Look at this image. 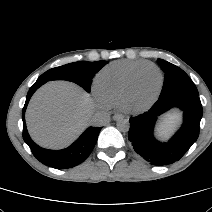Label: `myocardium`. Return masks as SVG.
<instances>
[{
	"instance_id": "1",
	"label": "myocardium",
	"mask_w": 212,
	"mask_h": 212,
	"mask_svg": "<svg viewBox=\"0 0 212 212\" xmlns=\"http://www.w3.org/2000/svg\"><path fill=\"white\" fill-rule=\"evenodd\" d=\"M145 69H154L158 73V75H159V86H158L156 93L154 94V96L152 97V99L148 103H146L145 105L140 106V107H134V106H131L129 104V99L132 95V92L134 90V87H135V84H136V81H137L139 74ZM163 81H164L163 73L160 70V68L158 66H156L155 64L149 63V64H145V65L137 68L131 74V76H130V78H129V80H128L125 88H124V91H123V94H122V97H121V100H120L121 109L123 111L127 112V113H139V112L144 111L145 109L150 107L157 100V98H158V96L161 92L162 86H163Z\"/></svg>"
}]
</instances>
